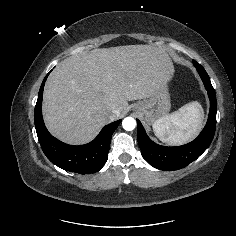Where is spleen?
<instances>
[{
	"instance_id": "obj_1",
	"label": "spleen",
	"mask_w": 236,
	"mask_h": 236,
	"mask_svg": "<svg viewBox=\"0 0 236 236\" xmlns=\"http://www.w3.org/2000/svg\"><path fill=\"white\" fill-rule=\"evenodd\" d=\"M203 115L200 103L191 102L155 121L153 131L164 143L182 145L198 133Z\"/></svg>"
}]
</instances>
